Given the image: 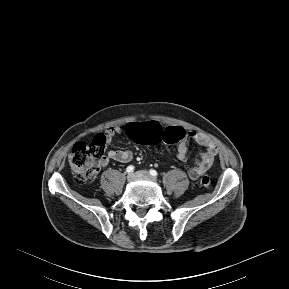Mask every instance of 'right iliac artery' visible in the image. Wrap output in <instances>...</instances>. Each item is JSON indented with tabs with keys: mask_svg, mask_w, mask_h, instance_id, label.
<instances>
[{
	"mask_svg": "<svg viewBox=\"0 0 289 289\" xmlns=\"http://www.w3.org/2000/svg\"><path fill=\"white\" fill-rule=\"evenodd\" d=\"M134 171V166L133 165H129L127 168H126V172L127 173H131Z\"/></svg>",
	"mask_w": 289,
	"mask_h": 289,
	"instance_id": "1",
	"label": "right iliac artery"
}]
</instances>
